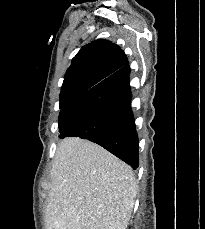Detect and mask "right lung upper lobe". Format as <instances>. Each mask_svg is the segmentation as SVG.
<instances>
[{"mask_svg":"<svg viewBox=\"0 0 205 229\" xmlns=\"http://www.w3.org/2000/svg\"><path fill=\"white\" fill-rule=\"evenodd\" d=\"M127 62L120 47L99 39L82 47L64 76L60 102L74 100Z\"/></svg>","mask_w":205,"mask_h":229,"instance_id":"obj_1","label":"right lung upper lobe"}]
</instances>
